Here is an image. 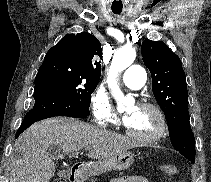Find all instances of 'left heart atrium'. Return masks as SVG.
<instances>
[{
	"label": "left heart atrium",
	"mask_w": 211,
	"mask_h": 182,
	"mask_svg": "<svg viewBox=\"0 0 211 182\" xmlns=\"http://www.w3.org/2000/svg\"><path fill=\"white\" fill-rule=\"evenodd\" d=\"M132 118H133V113L127 114V115L124 117V122H125L126 124H128V123L131 121Z\"/></svg>",
	"instance_id": "obj_1"
}]
</instances>
